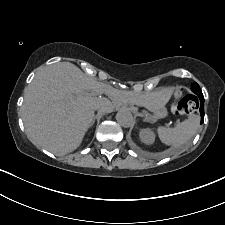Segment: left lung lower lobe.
Instances as JSON below:
<instances>
[{
  "label": "left lung lower lobe",
  "instance_id": "left-lung-lower-lobe-1",
  "mask_svg": "<svg viewBox=\"0 0 225 225\" xmlns=\"http://www.w3.org/2000/svg\"><path fill=\"white\" fill-rule=\"evenodd\" d=\"M199 99V108H200V114H201V123L204 121V97L203 94L197 95Z\"/></svg>",
  "mask_w": 225,
  "mask_h": 225
}]
</instances>
